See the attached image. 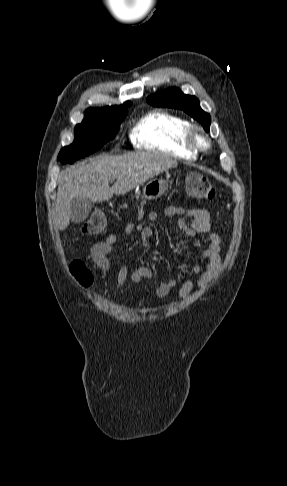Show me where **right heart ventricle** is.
<instances>
[{
    "mask_svg": "<svg viewBox=\"0 0 287 486\" xmlns=\"http://www.w3.org/2000/svg\"><path fill=\"white\" fill-rule=\"evenodd\" d=\"M189 122L166 111H153L143 116L131 129L130 140L138 150L190 159L196 156L187 143Z\"/></svg>",
    "mask_w": 287,
    "mask_h": 486,
    "instance_id": "obj_1",
    "label": "right heart ventricle"
}]
</instances>
